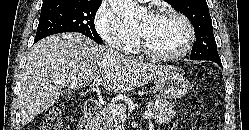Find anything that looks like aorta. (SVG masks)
Instances as JSON below:
<instances>
[{
    "instance_id": "1",
    "label": "aorta",
    "mask_w": 249,
    "mask_h": 130,
    "mask_svg": "<svg viewBox=\"0 0 249 130\" xmlns=\"http://www.w3.org/2000/svg\"><path fill=\"white\" fill-rule=\"evenodd\" d=\"M113 12L126 23H135L144 13L133 0H109Z\"/></svg>"
}]
</instances>
